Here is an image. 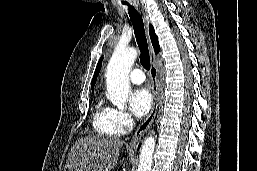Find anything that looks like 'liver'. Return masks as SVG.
<instances>
[{
  "mask_svg": "<svg viewBox=\"0 0 257 171\" xmlns=\"http://www.w3.org/2000/svg\"><path fill=\"white\" fill-rule=\"evenodd\" d=\"M123 141L113 136L88 135L72 147L65 171H111Z\"/></svg>",
  "mask_w": 257,
  "mask_h": 171,
  "instance_id": "liver-1",
  "label": "liver"
}]
</instances>
